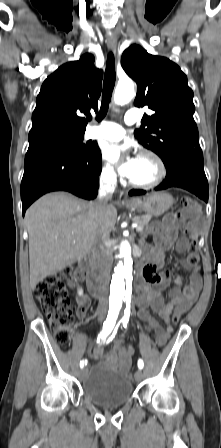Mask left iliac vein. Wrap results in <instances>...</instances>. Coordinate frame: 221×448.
<instances>
[{
    "instance_id": "obj_1",
    "label": "left iliac vein",
    "mask_w": 221,
    "mask_h": 448,
    "mask_svg": "<svg viewBox=\"0 0 221 448\" xmlns=\"http://www.w3.org/2000/svg\"><path fill=\"white\" fill-rule=\"evenodd\" d=\"M134 377H135V380H136L137 382L141 381V380L143 379V372H142V370H141V369H138V370L136 371Z\"/></svg>"
}]
</instances>
